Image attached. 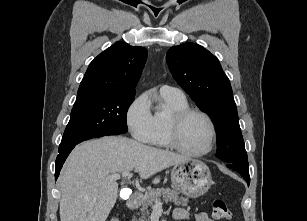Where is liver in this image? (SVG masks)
Returning a JSON list of instances; mask_svg holds the SVG:
<instances>
[{
    "mask_svg": "<svg viewBox=\"0 0 307 221\" xmlns=\"http://www.w3.org/2000/svg\"><path fill=\"white\" fill-rule=\"evenodd\" d=\"M187 160L122 136L83 142L73 149L58 179L60 221H106L118 193L111 175L135 169L142 179H148ZM159 180L155 177L153 182Z\"/></svg>",
    "mask_w": 307,
    "mask_h": 221,
    "instance_id": "liver-1",
    "label": "liver"
}]
</instances>
